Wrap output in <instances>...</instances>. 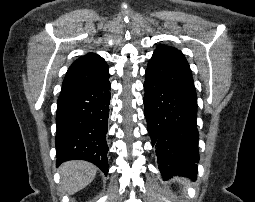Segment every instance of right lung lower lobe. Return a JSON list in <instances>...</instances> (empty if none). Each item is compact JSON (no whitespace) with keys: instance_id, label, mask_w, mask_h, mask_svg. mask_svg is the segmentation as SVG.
<instances>
[{"instance_id":"98d812e1","label":"right lung lower lobe","mask_w":255,"mask_h":202,"mask_svg":"<svg viewBox=\"0 0 255 202\" xmlns=\"http://www.w3.org/2000/svg\"><path fill=\"white\" fill-rule=\"evenodd\" d=\"M108 79L61 92L56 114L57 166L68 160H86L107 174L106 133L111 95Z\"/></svg>"}]
</instances>
